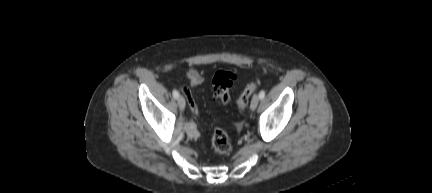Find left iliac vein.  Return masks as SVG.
I'll return each instance as SVG.
<instances>
[{
  "mask_svg": "<svg viewBox=\"0 0 432 193\" xmlns=\"http://www.w3.org/2000/svg\"><path fill=\"white\" fill-rule=\"evenodd\" d=\"M258 103H259V96L255 94L251 100L250 109L254 111L257 108Z\"/></svg>",
  "mask_w": 432,
  "mask_h": 193,
  "instance_id": "left-iliac-vein-1",
  "label": "left iliac vein"
}]
</instances>
